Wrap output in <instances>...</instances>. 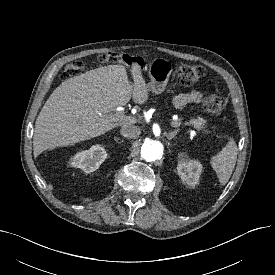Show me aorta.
Wrapping results in <instances>:
<instances>
[{
    "label": "aorta",
    "mask_w": 275,
    "mask_h": 275,
    "mask_svg": "<svg viewBox=\"0 0 275 275\" xmlns=\"http://www.w3.org/2000/svg\"><path fill=\"white\" fill-rule=\"evenodd\" d=\"M163 144L158 140H147L141 147V157L147 162H153L162 158Z\"/></svg>",
    "instance_id": "obj_1"
}]
</instances>
